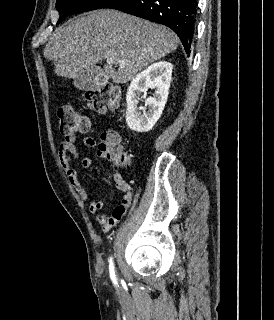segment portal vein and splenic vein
<instances>
[{
    "instance_id": "portal-vein-and-splenic-vein-1",
    "label": "portal vein and splenic vein",
    "mask_w": 274,
    "mask_h": 320,
    "mask_svg": "<svg viewBox=\"0 0 274 320\" xmlns=\"http://www.w3.org/2000/svg\"><path fill=\"white\" fill-rule=\"evenodd\" d=\"M107 64H113V58H106ZM121 66H125V62H120Z\"/></svg>"
}]
</instances>
